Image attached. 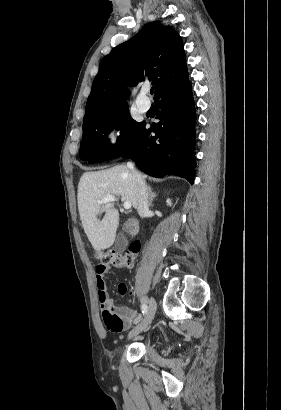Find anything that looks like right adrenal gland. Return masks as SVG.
<instances>
[{
	"label": "right adrenal gland",
	"mask_w": 281,
	"mask_h": 410,
	"mask_svg": "<svg viewBox=\"0 0 281 410\" xmlns=\"http://www.w3.org/2000/svg\"><path fill=\"white\" fill-rule=\"evenodd\" d=\"M148 194H149V206L152 205L153 199L157 196L156 193L152 192L150 186H148Z\"/></svg>",
	"instance_id": "2a0ac1e0"
}]
</instances>
